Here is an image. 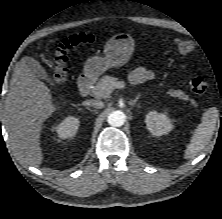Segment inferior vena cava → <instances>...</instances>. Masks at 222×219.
<instances>
[{"label":"inferior vena cava","mask_w":222,"mask_h":219,"mask_svg":"<svg viewBox=\"0 0 222 219\" xmlns=\"http://www.w3.org/2000/svg\"><path fill=\"white\" fill-rule=\"evenodd\" d=\"M83 104L87 105V106L97 108V109H101V108L104 107V103L102 101L95 100V99L87 100Z\"/></svg>","instance_id":"602c4592"}]
</instances>
